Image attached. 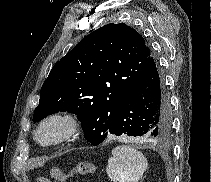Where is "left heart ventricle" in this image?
Instances as JSON below:
<instances>
[{
    "label": "left heart ventricle",
    "mask_w": 211,
    "mask_h": 182,
    "mask_svg": "<svg viewBox=\"0 0 211 182\" xmlns=\"http://www.w3.org/2000/svg\"><path fill=\"white\" fill-rule=\"evenodd\" d=\"M64 130V125L61 123H52L46 127L41 136L44 139H49L58 136Z\"/></svg>",
    "instance_id": "left-heart-ventricle-1"
}]
</instances>
